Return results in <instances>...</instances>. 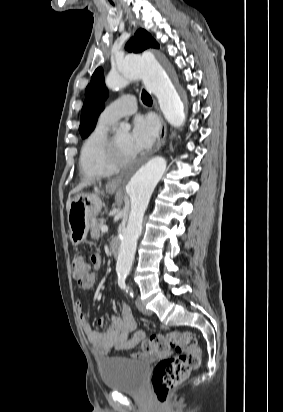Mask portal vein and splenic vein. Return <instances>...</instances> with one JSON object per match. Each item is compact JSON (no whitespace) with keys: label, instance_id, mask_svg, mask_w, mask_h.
<instances>
[{"label":"portal vein and splenic vein","instance_id":"1","mask_svg":"<svg viewBox=\"0 0 283 412\" xmlns=\"http://www.w3.org/2000/svg\"><path fill=\"white\" fill-rule=\"evenodd\" d=\"M101 231H102V232H107V231H108V227H107L106 225H103V226L101 227Z\"/></svg>","mask_w":283,"mask_h":412}]
</instances>
